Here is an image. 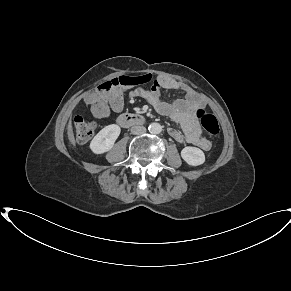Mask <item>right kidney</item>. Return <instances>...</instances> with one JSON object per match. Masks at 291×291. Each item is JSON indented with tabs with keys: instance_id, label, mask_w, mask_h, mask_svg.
Listing matches in <instances>:
<instances>
[{
	"instance_id": "ca27d5eb",
	"label": "right kidney",
	"mask_w": 291,
	"mask_h": 291,
	"mask_svg": "<svg viewBox=\"0 0 291 291\" xmlns=\"http://www.w3.org/2000/svg\"><path fill=\"white\" fill-rule=\"evenodd\" d=\"M121 129L116 124H111L100 130L90 142V149L95 154H103L109 151L120 135Z\"/></svg>"
}]
</instances>
